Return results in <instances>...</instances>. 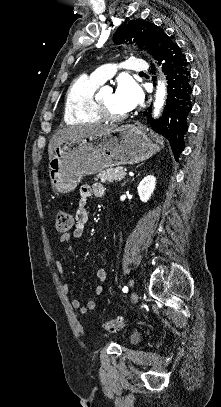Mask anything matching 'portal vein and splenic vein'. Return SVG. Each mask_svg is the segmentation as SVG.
<instances>
[{"instance_id": "18ae733b", "label": "portal vein and splenic vein", "mask_w": 221, "mask_h": 407, "mask_svg": "<svg viewBox=\"0 0 221 407\" xmlns=\"http://www.w3.org/2000/svg\"><path fill=\"white\" fill-rule=\"evenodd\" d=\"M126 174H127V173H126L125 171H124V172H122V175H124V176H125Z\"/></svg>"}]
</instances>
